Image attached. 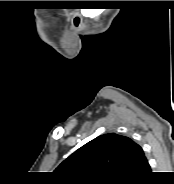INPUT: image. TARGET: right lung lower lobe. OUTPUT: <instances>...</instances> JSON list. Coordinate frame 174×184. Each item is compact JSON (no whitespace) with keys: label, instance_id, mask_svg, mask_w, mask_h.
I'll use <instances>...</instances> for the list:
<instances>
[{"label":"right lung lower lobe","instance_id":"obj_1","mask_svg":"<svg viewBox=\"0 0 174 184\" xmlns=\"http://www.w3.org/2000/svg\"><path fill=\"white\" fill-rule=\"evenodd\" d=\"M151 169L149 164L134 178L131 180L122 182L121 184H142L145 183L146 178L150 175Z\"/></svg>","mask_w":174,"mask_h":184}]
</instances>
